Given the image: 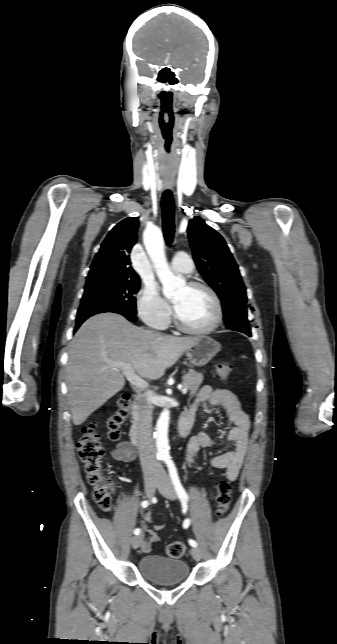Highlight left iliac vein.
Returning <instances> with one entry per match:
<instances>
[{"label":"left iliac vein","instance_id":"1","mask_svg":"<svg viewBox=\"0 0 337 644\" xmlns=\"http://www.w3.org/2000/svg\"><path fill=\"white\" fill-rule=\"evenodd\" d=\"M159 492L166 498L170 500H174L176 498L175 491L173 489L171 480L167 473L162 470L160 478H159V483L157 485ZM191 555L192 557L196 560L199 561L201 559V551L197 547H193L191 549Z\"/></svg>","mask_w":337,"mask_h":644}]
</instances>
